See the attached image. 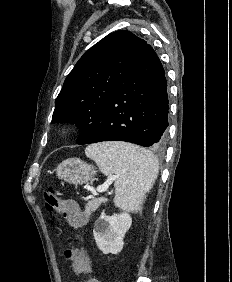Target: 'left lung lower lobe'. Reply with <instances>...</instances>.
Listing matches in <instances>:
<instances>
[{"label":"left lung lower lobe","mask_w":232,"mask_h":282,"mask_svg":"<svg viewBox=\"0 0 232 282\" xmlns=\"http://www.w3.org/2000/svg\"><path fill=\"white\" fill-rule=\"evenodd\" d=\"M169 100L163 66L147 44L136 66L106 105L100 122L78 144L125 141L160 148L166 142Z\"/></svg>","instance_id":"obj_1"}]
</instances>
